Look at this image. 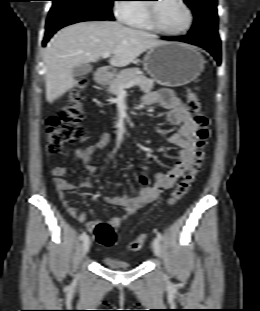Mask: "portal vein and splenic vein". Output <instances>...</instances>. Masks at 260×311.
I'll return each instance as SVG.
<instances>
[{
  "label": "portal vein and splenic vein",
  "mask_w": 260,
  "mask_h": 311,
  "mask_svg": "<svg viewBox=\"0 0 260 311\" xmlns=\"http://www.w3.org/2000/svg\"><path fill=\"white\" fill-rule=\"evenodd\" d=\"M110 55H111L110 53H104V54L102 55V57H103L104 59H106V58L110 57ZM139 81H140L139 79H135V80H133V81H130L127 85H125L124 87H122V88L120 89V91H123L125 88H130V87L135 86Z\"/></svg>",
  "instance_id": "18ae733b"
}]
</instances>
